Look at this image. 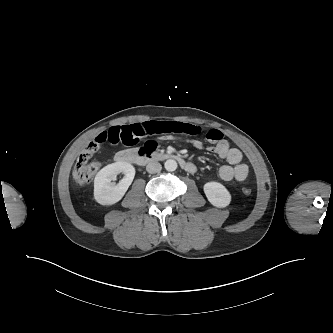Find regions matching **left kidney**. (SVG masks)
I'll list each match as a JSON object with an SVG mask.
<instances>
[{
  "instance_id": "obj_1",
  "label": "left kidney",
  "mask_w": 333,
  "mask_h": 333,
  "mask_svg": "<svg viewBox=\"0 0 333 333\" xmlns=\"http://www.w3.org/2000/svg\"><path fill=\"white\" fill-rule=\"evenodd\" d=\"M204 193L208 201L215 207L224 208L231 202V195L224 185L219 182H207L204 184Z\"/></svg>"
}]
</instances>
